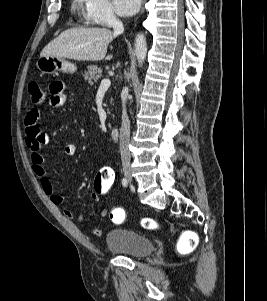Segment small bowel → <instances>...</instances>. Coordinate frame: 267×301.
<instances>
[{"instance_id": "small-bowel-1", "label": "small bowel", "mask_w": 267, "mask_h": 301, "mask_svg": "<svg viewBox=\"0 0 267 301\" xmlns=\"http://www.w3.org/2000/svg\"><path fill=\"white\" fill-rule=\"evenodd\" d=\"M67 99L66 85L63 81H54L50 85V98L49 105L52 108H59L64 105ZM39 111L36 108H31L24 119L26 145L30 151V163L34 174L39 178L40 185L44 193L50 198L53 204L61 205L64 203V197L56 192V189L49 179L44 167V158L41 150L43 146L49 143V138L44 134L39 126ZM76 152V146L74 144H67L64 147V153L67 156H73ZM90 199L93 202H100V198L93 192L90 194ZM64 214L68 217H73V213L69 209L64 210ZM107 211L103 209L101 216H106ZM77 220L81 224H85V219L82 215L77 217ZM92 234L95 236H101L103 234L100 229H92Z\"/></svg>"}]
</instances>
